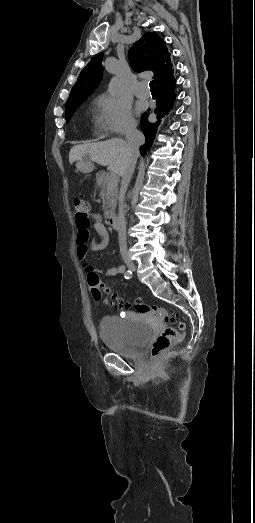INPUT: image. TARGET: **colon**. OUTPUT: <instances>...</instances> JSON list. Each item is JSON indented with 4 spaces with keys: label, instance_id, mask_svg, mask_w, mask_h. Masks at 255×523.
Masks as SVG:
<instances>
[{
    "label": "colon",
    "instance_id": "5ec220e1",
    "mask_svg": "<svg viewBox=\"0 0 255 523\" xmlns=\"http://www.w3.org/2000/svg\"><path fill=\"white\" fill-rule=\"evenodd\" d=\"M76 222L79 226H86L89 223L88 213L90 211L89 203L81 198H75L73 201ZM88 284L91 289L92 296L95 300H105L109 305L118 307L122 306L124 302L118 296L108 293L102 286L100 279L96 273L88 274ZM136 309L138 312L143 314H149L155 318L164 321L169 326H165L157 338L155 339L152 348L151 355L153 357L159 356L171 345L180 343L185 337V324L179 316L173 312L157 307L148 306L144 303H137ZM171 325V326H170ZM173 325V326H172Z\"/></svg>",
    "mask_w": 255,
    "mask_h": 523
}]
</instances>
